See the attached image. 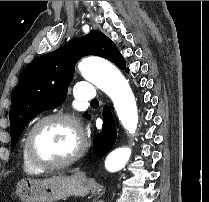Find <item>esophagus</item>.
Returning <instances> with one entry per match:
<instances>
[{
	"mask_svg": "<svg viewBox=\"0 0 209 202\" xmlns=\"http://www.w3.org/2000/svg\"><path fill=\"white\" fill-rule=\"evenodd\" d=\"M81 175L84 176L85 174L84 173H81Z\"/></svg>",
	"mask_w": 209,
	"mask_h": 202,
	"instance_id": "1",
	"label": "esophagus"
}]
</instances>
